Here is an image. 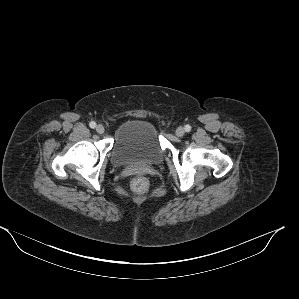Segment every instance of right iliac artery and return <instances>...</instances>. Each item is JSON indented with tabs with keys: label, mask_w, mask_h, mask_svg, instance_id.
<instances>
[{
	"label": "right iliac artery",
	"mask_w": 299,
	"mask_h": 299,
	"mask_svg": "<svg viewBox=\"0 0 299 299\" xmlns=\"http://www.w3.org/2000/svg\"><path fill=\"white\" fill-rule=\"evenodd\" d=\"M89 126H90L91 128H95V127H96V123H95L94 121H92V122H90Z\"/></svg>",
	"instance_id": "right-iliac-artery-1"
}]
</instances>
